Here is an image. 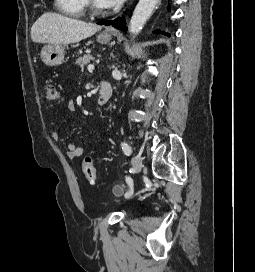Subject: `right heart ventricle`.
<instances>
[{
	"label": "right heart ventricle",
	"mask_w": 255,
	"mask_h": 272,
	"mask_svg": "<svg viewBox=\"0 0 255 272\" xmlns=\"http://www.w3.org/2000/svg\"><path fill=\"white\" fill-rule=\"evenodd\" d=\"M55 9L70 17H82L85 13V0H54Z\"/></svg>",
	"instance_id": "1"
}]
</instances>
